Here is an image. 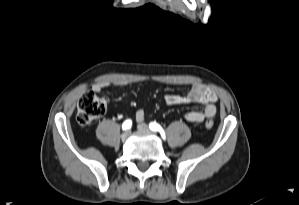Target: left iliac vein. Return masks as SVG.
<instances>
[{
  "label": "left iliac vein",
  "mask_w": 299,
  "mask_h": 205,
  "mask_svg": "<svg viewBox=\"0 0 299 205\" xmlns=\"http://www.w3.org/2000/svg\"><path fill=\"white\" fill-rule=\"evenodd\" d=\"M137 128L139 131H146V132L150 131L148 125H146L144 123L138 124Z\"/></svg>",
  "instance_id": "left-iliac-vein-1"
}]
</instances>
